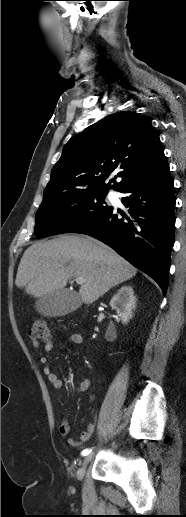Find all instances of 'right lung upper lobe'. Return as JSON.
Here are the masks:
<instances>
[{
  "mask_svg": "<svg viewBox=\"0 0 186 517\" xmlns=\"http://www.w3.org/2000/svg\"><path fill=\"white\" fill-rule=\"evenodd\" d=\"M167 165L158 133L148 117L121 111L87 127L64 146L51 171L43 202L82 191H121ZM122 177L104 184L111 173Z\"/></svg>",
  "mask_w": 186,
  "mask_h": 517,
  "instance_id": "right-lung-upper-lobe-1",
  "label": "right lung upper lobe"
}]
</instances>
